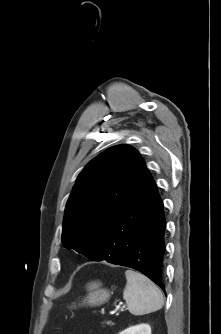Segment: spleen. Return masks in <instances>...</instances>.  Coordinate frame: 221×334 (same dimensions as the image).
Listing matches in <instances>:
<instances>
[{
    "label": "spleen",
    "mask_w": 221,
    "mask_h": 334,
    "mask_svg": "<svg viewBox=\"0 0 221 334\" xmlns=\"http://www.w3.org/2000/svg\"><path fill=\"white\" fill-rule=\"evenodd\" d=\"M126 286L123 292L128 310L133 315H144L162 308L164 297L161 290L146 276L126 270Z\"/></svg>",
    "instance_id": "1"
}]
</instances>
